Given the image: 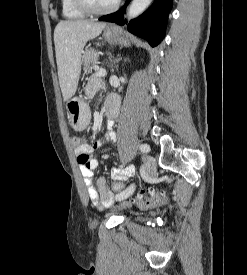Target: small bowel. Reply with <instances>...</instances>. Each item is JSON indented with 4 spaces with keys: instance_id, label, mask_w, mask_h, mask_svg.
I'll return each instance as SVG.
<instances>
[{
    "instance_id": "1",
    "label": "small bowel",
    "mask_w": 247,
    "mask_h": 275,
    "mask_svg": "<svg viewBox=\"0 0 247 275\" xmlns=\"http://www.w3.org/2000/svg\"><path fill=\"white\" fill-rule=\"evenodd\" d=\"M109 105H116L118 108V100L115 97H110L107 100ZM111 121H109V124ZM115 139V134L108 131L99 141L94 145L84 144L77 149V162L80 167L84 183L88 189V194L92 203L98 208H105L111 205L114 201L115 193L111 190L103 178H94V170L97 167V161L93 158V152L96 148L104 145L110 140ZM133 169L131 167L120 168L115 167L111 171V177L116 182L125 181L132 176Z\"/></svg>"
}]
</instances>
